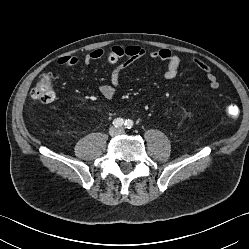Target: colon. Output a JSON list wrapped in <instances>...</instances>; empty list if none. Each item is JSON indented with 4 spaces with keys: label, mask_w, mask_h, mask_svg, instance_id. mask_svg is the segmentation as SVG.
Wrapping results in <instances>:
<instances>
[{
    "label": "colon",
    "mask_w": 249,
    "mask_h": 249,
    "mask_svg": "<svg viewBox=\"0 0 249 249\" xmlns=\"http://www.w3.org/2000/svg\"><path fill=\"white\" fill-rule=\"evenodd\" d=\"M32 97L44 104H48L54 100L55 92L53 86V77L49 73H43L34 88L32 89ZM230 117H236L238 115V109L236 106L231 105L228 109Z\"/></svg>",
    "instance_id": "1"
}]
</instances>
